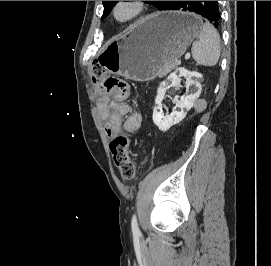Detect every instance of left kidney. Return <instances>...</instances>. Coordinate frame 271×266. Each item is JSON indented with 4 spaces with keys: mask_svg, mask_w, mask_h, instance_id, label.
Masks as SVG:
<instances>
[{
    "mask_svg": "<svg viewBox=\"0 0 271 266\" xmlns=\"http://www.w3.org/2000/svg\"><path fill=\"white\" fill-rule=\"evenodd\" d=\"M199 76L198 72L188 71L185 68H179L168 76V80L171 82L170 86L180 87L181 77H184L186 79V88L190 90L192 86H195L197 91L182 97L175 96L173 100L175 107L172 113L164 115L162 101L165 97L166 88L158 90L152 118L159 130L165 132L186 117L187 112L193 107L194 101L200 95L201 84L193 80L194 77L198 78Z\"/></svg>",
    "mask_w": 271,
    "mask_h": 266,
    "instance_id": "obj_1",
    "label": "left kidney"
}]
</instances>
